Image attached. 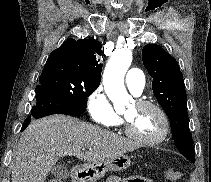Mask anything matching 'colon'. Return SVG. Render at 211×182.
I'll use <instances>...</instances> for the list:
<instances>
[{
  "instance_id": "obj_1",
  "label": "colon",
  "mask_w": 211,
  "mask_h": 182,
  "mask_svg": "<svg viewBox=\"0 0 211 182\" xmlns=\"http://www.w3.org/2000/svg\"><path fill=\"white\" fill-rule=\"evenodd\" d=\"M164 175H165V178L170 181H175L180 177L179 171H177L174 168H169L165 170ZM50 182H63V181L60 179H52Z\"/></svg>"
}]
</instances>
